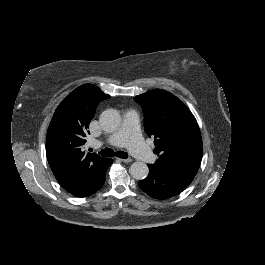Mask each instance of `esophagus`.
<instances>
[{
  "mask_svg": "<svg viewBox=\"0 0 265 265\" xmlns=\"http://www.w3.org/2000/svg\"><path fill=\"white\" fill-rule=\"evenodd\" d=\"M120 161L124 162V163H129L132 161L131 158H126V159H122V158H119Z\"/></svg>",
  "mask_w": 265,
  "mask_h": 265,
  "instance_id": "obj_1",
  "label": "esophagus"
}]
</instances>
